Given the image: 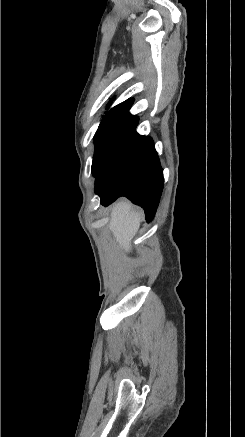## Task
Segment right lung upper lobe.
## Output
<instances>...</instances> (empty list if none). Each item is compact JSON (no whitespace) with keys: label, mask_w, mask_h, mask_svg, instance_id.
I'll return each instance as SVG.
<instances>
[{"label":"right lung upper lobe","mask_w":245,"mask_h":437,"mask_svg":"<svg viewBox=\"0 0 245 437\" xmlns=\"http://www.w3.org/2000/svg\"><path fill=\"white\" fill-rule=\"evenodd\" d=\"M132 104H133V99H128V100H126V101L120 103L119 105H117V107H126V108H129V109H130V107L132 106Z\"/></svg>","instance_id":"right-lung-upper-lobe-1"}]
</instances>
